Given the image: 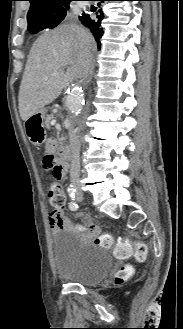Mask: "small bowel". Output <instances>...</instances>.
I'll return each instance as SVG.
<instances>
[{
  "mask_svg": "<svg viewBox=\"0 0 183 329\" xmlns=\"http://www.w3.org/2000/svg\"><path fill=\"white\" fill-rule=\"evenodd\" d=\"M57 140L49 139L45 144V155L51 154L55 155L57 151ZM85 220H75L74 226L71 221L64 215L60 210H54L48 213L47 222L52 233H57L58 231H74V232H98V227L94 225L91 219L87 216H84ZM84 242H89L90 238L82 235Z\"/></svg>",
  "mask_w": 183,
  "mask_h": 329,
  "instance_id": "small-bowel-1",
  "label": "small bowel"
}]
</instances>
